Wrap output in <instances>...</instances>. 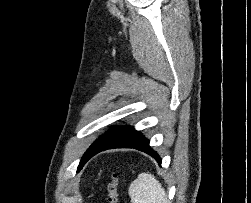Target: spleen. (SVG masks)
Segmentation results:
<instances>
[{
  "mask_svg": "<svg viewBox=\"0 0 251 203\" xmlns=\"http://www.w3.org/2000/svg\"><path fill=\"white\" fill-rule=\"evenodd\" d=\"M132 203H169L164 188L149 173H141L129 187Z\"/></svg>",
  "mask_w": 251,
  "mask_h": 203,
  "instance_id": "spleen-1",
  "label": "spleen"
}]
</instances>
